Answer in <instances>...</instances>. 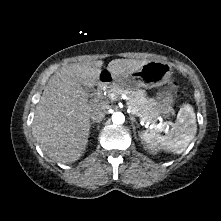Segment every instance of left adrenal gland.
<instances>
[{"label": "left adrenal gland", "instance_id": "left-adrenal-gland-1", "mask_svg": "<svg viewBox=\"0 0 221 221\" xmlns=\"http://www.w3.org/2000/svg\"><path fill=\"white\" fill-rule=\"evenodd\" d=\"M130 120L132 121V127H133V130H135V128H136V127L133 125V123H136V124H137V127H139V124L137 123L135 117L130 116Z\"/></svg>", "mask_w": 221, "mask_h": 221}]
</instances>
